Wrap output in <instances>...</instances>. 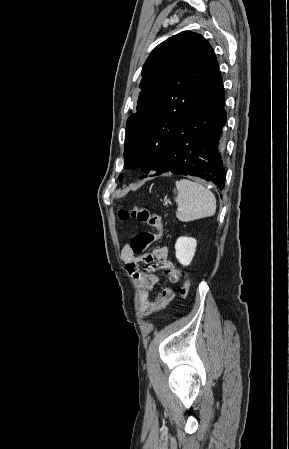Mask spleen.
I'll use <instances>...</instances> for the list:
<instances>
[{"mask_svg":"<svg viewBox=\"0 0 289 449\" xmlns=\"http://www.w3.org/2000/svg\"><path fill=\"white\" fill-rule=\"evenodd\" d=\"M178 204L176 217L182 222H189L200 218L213 216L216 212V198L203 185L181 179L175 183Z\"/></svg>","mask_w":289,"mask_h":449,"instance_id":"obj_1","label":"spleen"}]
</instances>
